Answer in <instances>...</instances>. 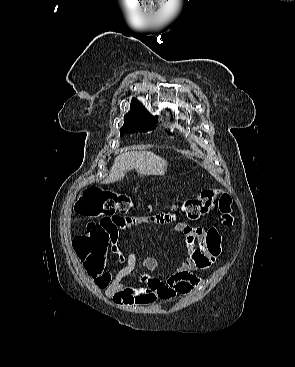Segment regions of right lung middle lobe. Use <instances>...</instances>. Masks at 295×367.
Returning a JSON list of instances; mask_svg holds the SVG:
<instances>
[{"label":"right lung middle lobe","mask_w":295,"mask_h":367,"mask_svg":"<svg viewBox=\"0 0 295 367\" xmlns=\"http://www.w3.org/2000/svg\"><path fill=\"white\" fill-rule=\"evenodd\" d=\"M157 117H153L144 106L128 113L124 118V125L120 128V135L125 133H144L153 130Z\"/></svg>","instance_id":"1"}]
</instances>
